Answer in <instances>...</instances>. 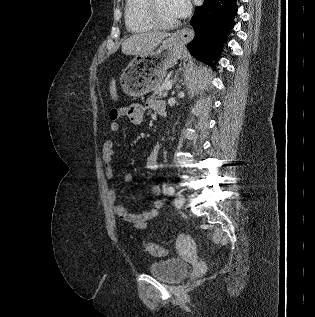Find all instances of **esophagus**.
Wrapping results in <instances>:
<instances>
[{
  "instance_id": "esophagus-1",
  "label": "esophagus",
  "mask_w": 315,
  "mask_h": 317,
  "mask_svg": "<svg viewBox=\"0 0 315 317\" xmlns=\"http://www.w3.org/2000/svg\"><path fill=\"white\" fill-rule=\"evenodd\" d=\"M175 37L183 42H189L193 38V31L188 28H182L175 33Z\"/></svg>"
}]
</instances>
